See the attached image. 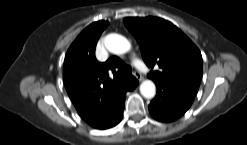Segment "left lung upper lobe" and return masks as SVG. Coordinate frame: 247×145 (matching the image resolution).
I'll return each mask as SVG.
<instances>
[{"instance_id": "left-lung-upper-lobe-1", "label": "left lung upper lobe", "mask_w": 247, "mask_h": 145, "mask_svg": "<svg viewBox=\"0 0 247 145\" xmlns=\"http://www.w3.org/2000/svg\"><path fill=\"white\" fill-rule=\"evenodd\" d=\"M124 24L136 38L147 66L159 67L149 78L196 95L203 74L202 56L178 27L157 17H128Z\"/></svg>"}]
</instances>
